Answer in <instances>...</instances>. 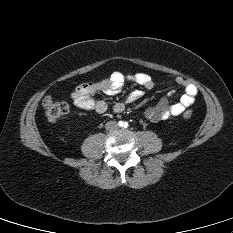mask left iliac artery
Returning a JSON list of instances; mask_svg holds the SVG:
<instances>
[{"instance_id": "1", "label": "left iliac artery", "mask_w": 233, "mask_h": 233, "mask_svg": "<svg viewBox=\"0 0 233 233\" xmlns=\"http://www.w3.org/2000/svg\"><path fill=\"white\" fill-rule=\"evenodd\" d=\"M128 126V123H125V127H127Z\"/></svg>"}]
</instances>
